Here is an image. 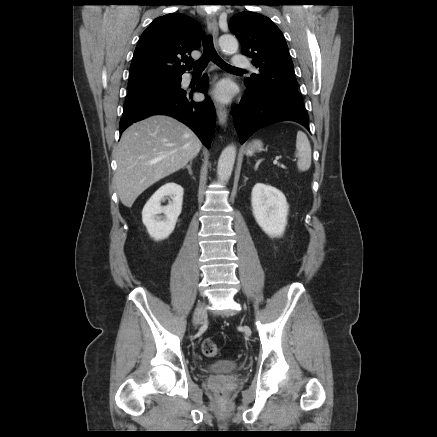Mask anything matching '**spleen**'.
Instances as JSON below:
<instances>
[{"label":"spleen","mask_w":437,"mask_h":437,"mask_svg":"<svg viewBox=\"0 0 437 437\" xmlns=\"http://www.w3.org/2000/svg\"><path fill=\"white\" fill-rule=\"evenodd\" d=\"M296 157L298 158L297 167L299 171H307L311 166V145L306 134L302 131L297 132Z\"/></svg>","instance_id":"spleen-1"}]
</instances>
